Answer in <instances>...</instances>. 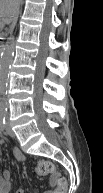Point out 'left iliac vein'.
I'll list each match as a JSON object with an SVG mask.
<instances>
[{"label": "left iliac vein", "instance_id": "1", "mask_svg": "<svg viewBox=\"0 0 103 193\" xmlns=\"http://www.w3.org/2000/svg\"><path fill=\"white\" fill-rule=\"evenodd\" d=\"M5 128H6V132H7L11 137H14V136H15L13 130L11 129V126H10V123H9V120H8V119H7Z\"/></svg>", "mask_w": 103, "mask_h": 193}]
</instances>
